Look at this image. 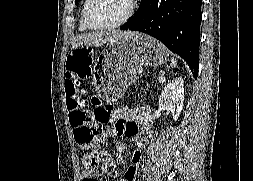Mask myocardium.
<instances>
[{
  "label": "myocardium",
  "mask_w": 253,
  "mask_h": 181,
  "mask_svg": "<svg viewBox=\"0 0 253 181\" xmlns=\"http://www.w3.org/2000/svg\"><path fill=\"white\" fill-rule=\"evenodd\" d=\"M92 2L93 0H86V3L83 8V12H82L83 22L85 26L89 28L90 30H107V29L120 27L124 25L125 23H127L132 18L135 12V7H136V0H130L129 10L122 19L110 24L96 25V24H93L89 18V9Z\"/></svg>",
  "instance_id": "myocardium-1"
}]
</instances>
